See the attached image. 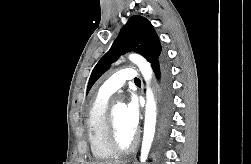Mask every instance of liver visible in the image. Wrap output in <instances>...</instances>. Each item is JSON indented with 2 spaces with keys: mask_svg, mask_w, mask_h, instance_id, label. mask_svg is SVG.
<instances>
[{
  "mask_svg": "<svg viewBox=\"0 0 251 164\" xmlns=\"http://www.w3.org/2000/svg\"><path fill=\"white\" fill-rule=\"evenodd\" d=\"M92 164H120L118 161H106V162H98V163H92Z\"/></svg>",
  "mask_w": 251,
  "mask_h": 164,
  "instance_id": "liver-1",
  "label": "liver"
}]
</instances>
